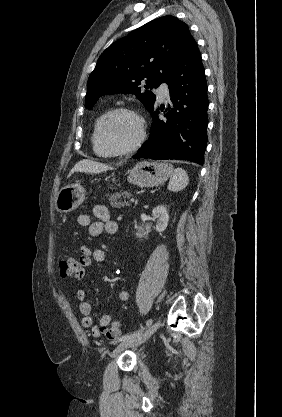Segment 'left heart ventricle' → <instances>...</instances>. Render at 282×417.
Instances as JSON below:
<instances>
[{
  "label": "left heart ventricle",
  "instance_id": "obj_1",
  "mask_svg": "<svg viewBox=\"0 0 282 417\" xmlns=\"http://www.w3.org/2000/svg\"><path fill=\"white\" fill-rule=\"evenodd\" d=\"M138 134L137 120L126 115L116 117L108 128V140L111 145L116 147L132 143Z\"/></svg>",
  "mask_w": 282,
  "mask_h": 417
}]
</instances>
